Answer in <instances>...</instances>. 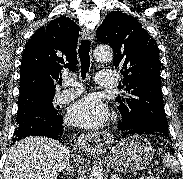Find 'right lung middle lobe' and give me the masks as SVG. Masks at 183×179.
<instances>
[{
	"instance_id": "right-lung-middle-lobe-1",
	"label": "right lung middle lobe",
	"mask_w": 183,
	"mask_h": 179,
	"mask_svg": "<svg viewBox=\"0 0 183 179\" xmlns=\"http://www.w3.org/2000/svg\"><path fill=\"white\" fill-rule=\"evenodd\" d=\"M54 94H31L18 98L17 125L32 116H52L58 113L53 106Z\"/></svg>"
}]
</instances>
